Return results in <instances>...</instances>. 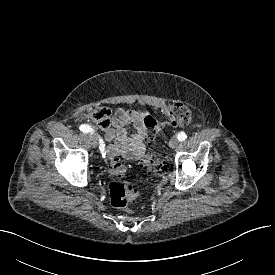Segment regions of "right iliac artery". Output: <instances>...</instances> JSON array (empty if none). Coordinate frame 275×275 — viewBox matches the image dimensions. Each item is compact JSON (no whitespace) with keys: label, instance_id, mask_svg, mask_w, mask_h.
Returning a JSON list of instances; mask_svg holds the SVG:
<instances>
[{"label":"right iliac artery","instance_id":"obj_1","mask_svg":"<svg viewBox=\"0 0 275 275\" xmlns=\"http://www.w3.org/2000/svg\"><path fill=\"white\" fill-rule=\"evenodd\" d=\"M80 131L82 132H85V133H88V132H91L93 133L94 130L91 128V126L87 125V124H82L80 127H79ZM99 143H100V146H99V149L102 153V156L104 157L105 153H104V150H105V144L103 142L102 139L99 140Z\"/></svg>","mask_w":275,"mask_h":275}]
</instances>
